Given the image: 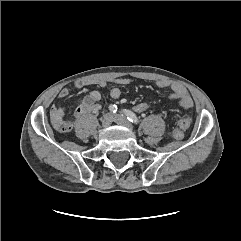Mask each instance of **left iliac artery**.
<instances>
[{
  "mask_svg": "<svg viewBox=\"0 0 241 241\" xmlns=\"http://www.w3.org/2000/svg\"><path fill=\"white\" fill-rule=\"evenodd\" d=\"M123 113L125 114V116L127 117V119L130 122H132V123H134L136 125L139 123V120H138L137 116L132 111L124 109Z\"/></svg>",
  "mask_w": 241,
  "mask_h": 241,
  "instance_id": "obj_1",
  "label": "left iliac artery"
}]
</instances>
